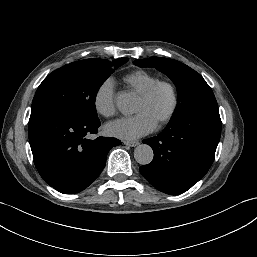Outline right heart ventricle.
<instances>
[{"label":"right heart ventricle","mask_w":257,"mask_h":257,"mask_svg":"<svg viewBox=\"0 0 257 257\" xmlns=\"http://www.w3.org/2000/svg\"><path fill=\"white\" fill-rule=\"evenodd\" d=\"M158 80V77L145 70H136L123 77V83L131 92L139 95L151 84Z\"/></svg>","instance_id":"e07e8e85"}]
</instances>
